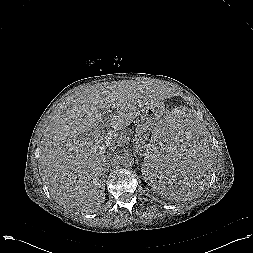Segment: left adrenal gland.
Returning <instances> with one entry per match:
<instances>
[{
  "mask_svg": "<svg viewBox=\"0 0 253 253\" xmlns=\"http://www.w3.org/2000/svg\"><path fill=\"white\" fill-rule=\"evenodd\" d=\"M137 152H138V150H137ZM139 154H142V152L139 150Z\"/></svg>",
  "mask_w": 253,
  "mask_h": 253,
  "instance_id": "obj_1",
  "label": "left adrenal gland"
}]
</instances>
